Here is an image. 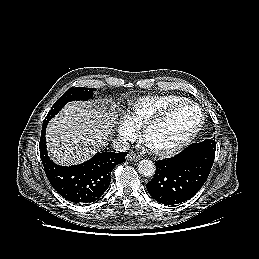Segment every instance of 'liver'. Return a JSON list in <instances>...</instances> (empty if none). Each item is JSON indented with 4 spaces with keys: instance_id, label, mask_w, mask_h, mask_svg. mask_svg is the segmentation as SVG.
Returning <instances> with one entry per match:
<instances>
[{
    "instance_id": "liver-1",
    "label": "liver",
    "mask_w": 259,
    "mask_h": 259,
    "mask_svg": "<svg viewBox=\"0 0 259 259\" xmlns=\"http://www.w3.org/2000/svg\"><path fill=\"white\" fill-rule=\"evenodd\" d=\"M115 107L114 104L97 108L81 102L67 104L46 130L52 160L60 165H74L91 158L111 134Z\"/></svg>"
}]
</instances>
